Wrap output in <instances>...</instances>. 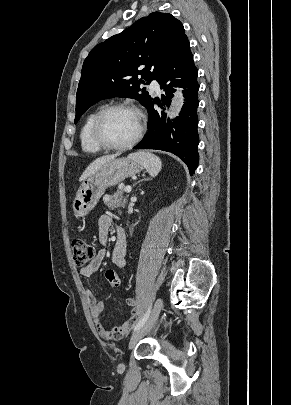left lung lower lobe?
<instances>
[{
	"mask_svg": "<svg viewBox=\"0 0 291 405\" xmlns=\"http://www.w3.org/2000/svg\"><path fill=\"white\" fill-rule=\"evenodd\" d=\"M198 70L194 65L193 55L190 51L188 38H184L168 63L158 74L156 80L164 89L162 105L151 100L147 106L149 112L148 129L142 141L134 149H157L171 152L181 158L193 175L198 166L199 137L197 133L198 117L197 107L199 100L197 91ZM180 78V79H175ZM173 87H182L184 105L179 116L173 121L166 120V114L154 109V103L161 108L168 107L173 92Z\"/></svg>",
	"mask_w": 291,
	"mask_h": 405,
	"instance_id": "0a47b994",
	"label": "left lung lower lobe"
}]
</instances>
